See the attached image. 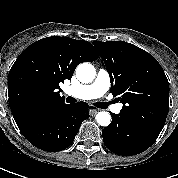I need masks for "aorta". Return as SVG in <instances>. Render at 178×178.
<instances>
[{
  "label": "aorta",
  "mask_w": 178,
  "mask_h": 178,
  "mask_svg": "<svg viewBox=\"0 0 178 178\" xmlns=\"http://www.w3.org/2000/svg\"><path fill=\"white\" fill-rule=\"evenodd\" d=\"M95 75V67L90 63H81L76 68V77L82 83L92 82ZM96 121L101 126H108L111 123V116L106 111H100L96 115Z\"/></svg>",
  "instance_id": "1"
}]
</instances>
